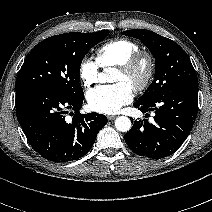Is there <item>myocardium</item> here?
<instances>
[{
    "instance_id": "f54148a6",
    "label": "myocardium",
    "mask_w": 212,
    "mask_h": 212,
    "mask_svg": "<svg viewBox=\"0 0 212 212\" xmlns=\"http://www.w3.org/2000/svg\"><path fill=\"white\" fill-rule=\"evenodd\" d=\"M117 69L127 75H134L138 71L142 72L141 77L133 83L135 91H144L151 84L155 75V61L147 52H136L125 62L117 65Z\"/></svg>"
}]
</instances>
